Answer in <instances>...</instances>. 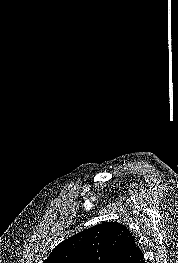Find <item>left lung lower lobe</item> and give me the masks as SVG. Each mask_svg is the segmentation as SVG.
I'll return each mask as SVG.
<instances>
[{
  "label": "left lung lower lobe",
  "mask_w": 178,
  "mask_h": 263,
  "mask_svg": "<svg viewBox=\"0 0 178 263\" xmlns=\"http://www.w3.org/2000/svg\"><path fill=\"white\" fill-rule=\"evenodd\" d=\"M109 263H145L143 254L130 233L117 255Z\"/></svg>",
  "instance_id": "left-lung-lower-lobe-1"
}]
</instances>
